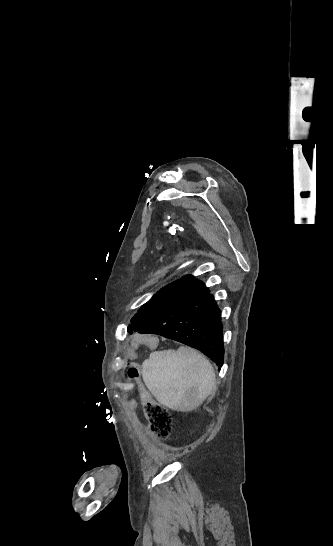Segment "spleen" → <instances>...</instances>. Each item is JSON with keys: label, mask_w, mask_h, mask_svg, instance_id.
<instances>
[{"label": "spleen", "mask_w": 333, "mask_h": 546, "mask_svg": "<svg viewBox=\"0 0 333 546\" xmlns=\"http://www.w3.org/2000/svg\"><path fill=\"white\" fill-rule=\"evenodd\" d=\"M142 376L160 404L181 412L196 409L216 387L210 362L188 347L152 352Z\"/></svg>", "instance_id": "spleen-1"}]
</instances>
